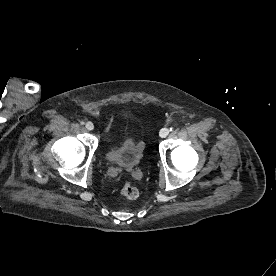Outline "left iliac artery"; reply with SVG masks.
Segmentation results:
<instances>
[{
  "mask_svg": "<svg viewBox=\"0 0 276 276\" xmlns=\"http://www.w3.org/2000/svg\"><path fill=\"white\" fill-rule=\"evenodd\" d=\"M172 130H173V128L171 127V128H170V131H172Z\"/></svg>",
  "mask_w": 276,
  "mask_h": 276,
  "instance_id": "1",
  "label": "left iliac artery"
}]
</instances>
